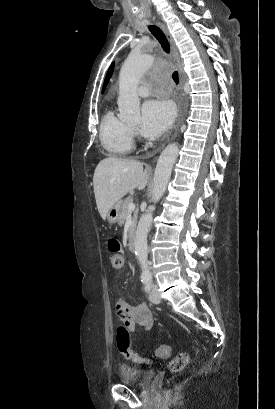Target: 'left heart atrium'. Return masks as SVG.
<instances>
[{
	"instance_id": "1",
	"label": "left heart atrium",
	"mask_w": 275,
	"mask_h": 409,
	"mask_svg": "<svg viewBox=\"0 0 275 409\" xmlns=\"http://www.w3.org/2000/svg\"><path fill=\"white\" fill-rule=\"evenodd\" d=\"M174 118V109L169 101L149 100L142 109L140 131L147 137H158L168 129Z\"/></svg>"
}]
</instances>
